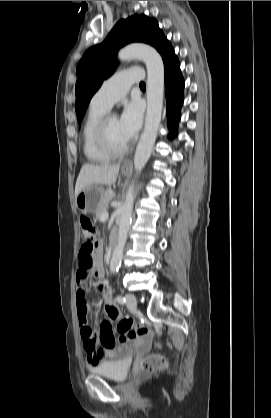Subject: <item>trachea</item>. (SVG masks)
<instances>
[{
	"mask_svg": "<svg viewBox=\"0 0 271 418\" xmlns=\"http://www.w3.org/2000/svg\"><path fill=\"white\" fill-rule=\"evenodd\" d=\"M140 87H141V88H145V87H146L145 83H144V82H141V83H140Z\"/></svg>",
	"mask_w": 271,
	"mask_h": 418,
	"instance_id": "trachea-1",
	"label": "trachea"
}]
</instances>
